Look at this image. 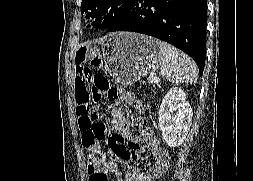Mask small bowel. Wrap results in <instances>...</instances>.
<instances>
[{"instance_id":"obj_1","label":"small bowel","mask_w":253,"mask_h":181,"mask_svg":"<svg viewBox=\"0 0 253 181\" xmlns=\"http://www.w3.org/2000/svg\"><path fill=\"white\" fill-rule=\"evenodd\" d=\"M89 71L83 65H77L74 78V97L76 102V114L80 115L81 100L87 91V80ZM120 103L133 104L135 110L142 114L145 111V104L137 100L135 95L129 91H121ZM112 120L110 126L109 147L111 154L121 160H136L148 151L153 162L148 164L144 171L133 168L123 174L120 166L115 160H103L100 163L88 161L87 172L89 181H111L108 174L113 175L118 181H153L167 170L170 163V156L167 150L162 148L158 139L146 128L145 124L139 119L141 131L138 136L129 134V118L119 107H115L111 112ZM127 141V146L124 141Z\"/></svg>"}]
</instances>
